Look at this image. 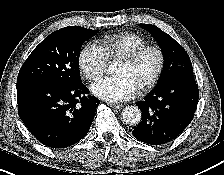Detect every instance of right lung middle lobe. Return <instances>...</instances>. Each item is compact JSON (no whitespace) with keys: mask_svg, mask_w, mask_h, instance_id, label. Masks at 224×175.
<instances>
[{"mask_svg":"<svg viewBox=\"0 0 224 175\" xmlns=\"http://www.w3.org/2000/svg\"><path fill=\"white\" fill-rule=\"evenodd\" d=\"M98 30L68 26L47 36L29 55L18 79H42L63 85L82 83L79 56L82 44Z\"/></svg>","mask_w":224,"mask_h":175,"instance_id":"obj_1","label":"right lung middle lobe"}]
</instances>
